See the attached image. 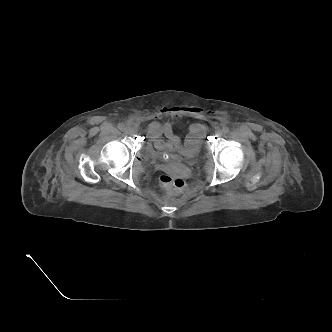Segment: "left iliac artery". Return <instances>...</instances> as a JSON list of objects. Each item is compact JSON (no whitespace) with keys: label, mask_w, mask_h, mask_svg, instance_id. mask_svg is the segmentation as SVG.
Returning a JSON list of instances; mask_svg holds the SVG:
<instances>
[{"label":"left iliac artery","mask_w":332,"mask_h":332,"mask_svg":"<svg viewBox=\"0 0 332 332\" xmlns=\"http://www.w3.org/2000/svg\"><path fill=\"white\" fill-rule=\"evenodd\" d=\"M222 130H223L224 133H228V132H229V127H226V126H225V127H223Z\"/></svg>","instance_id":"left-iliac-artery-1"}]
</instances>
